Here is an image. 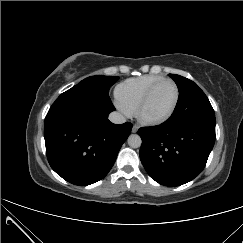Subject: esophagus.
I'll use <instances>...</instances> for the list:
<instances>
[{
	"mask_svg": "<svg viewBox=\"0 0 243 243\" xmlns=\"http://www.w3.org/2000/svg\"><path fill=\"white\" fill-rule=\"evenodd\" d=\"M137 131H138V126L137 125H133L132 132L136 133Z\"/></svg>",
	"mask_w": 243,
	"mask_h": 243,
	"instance_id": "1",
	"label": "esophagus"
}]
</instances>
